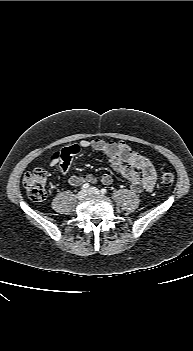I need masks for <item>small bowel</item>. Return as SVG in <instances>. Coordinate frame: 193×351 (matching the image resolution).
Returning <instances> with one entry per match:
<instances>
[{"label": "small bowel", "instance_id": "1", "mask_svg": "<svg viewBox=\"0 0 193 351\" xmlns=\"http://www.w3.org/2000/svg\"><path fill=\"white\" fill-rule=\"evenodd\" d=\"M88 148L105 156L112 169L130 182L131 191L148 193L153 190L157 180L154 164L146 156L135 152L124 142L95 138L68 143L53 151L49 155V162L56 165L59 172L68 173L71 168V157L81 156ZM96 181H100L103 185H110L113 179L109 174H103L99 178L92 175L71 176L68 179V184L77 187L85 182Z\"/></svg>", "mask_w": 193, "mask_h": 351}]
</instances>
